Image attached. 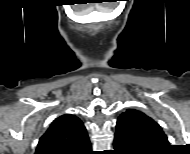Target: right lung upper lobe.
Segmentation results:
<instances>
[{"label":"right lung upper lobe","mask_w":190,"mask_h":154,"mask_svg":"<svg viewBox=\"0 0 190 154\" xmlns=\"http://www.w3.org/2000/svg\"><path fill=\"white\" fill-rule=\"evenodd\" d=\"M91 143L82 121L71 114L55 119L40 138L35 154H89Z\"/></svg>","instance_id":"obj_1"}]
</instances>
